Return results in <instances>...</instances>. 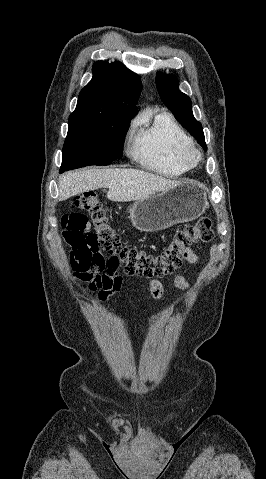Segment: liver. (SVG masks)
Masks as SVG:
<instances>
[{
  "instance_id": "1",
  "label": "liver",
  "mask_w": 266,
  "mask_h": 479,
  "mask_svg": "<svg viewBox=\"0 0 266 479\" xmlns=\"http://www.w3.org/2000/svg\"><path fill=\"white\" fill-rule=\"evenodd\" d=\"M179 183L137 169H85L59 178V201L99 188L109 189L107 198L111 201H137L169 190Z\"/></svg>"
}]
</instances>
